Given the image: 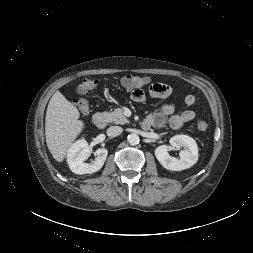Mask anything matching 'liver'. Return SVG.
<instances>
[{"label":"liver","mask_w":253,"mask_h":253,"mask_svg":"<svg viewBox=\"0 0 253 253\" xmlns=\"http://www.w3.org/2000/svg\"><path fill=\"white\" fill-rule=\"evenodd\" d=\"M78 109L60 91L51 97L45 118L46 143L53 158L62 162L85 127Z\"/></svg>","instance_id":"1"}]
</instances>
